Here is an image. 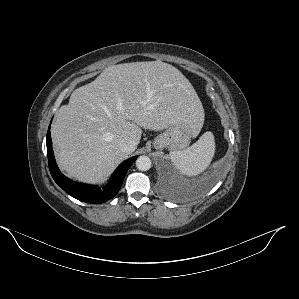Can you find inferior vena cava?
<instances>
[{
	"instance_id": "1",
	"label": "inferior vena cava",
	"mask_w": 299,
	"mask_h": 299,
	"mask_svg": "<svg viewBox=\"0 0 299 299\" xmlns=\"http://www.w3.org/2000/svg\"><path fill=\"white\" fill-rule=\"evenodd\" d=\"M120 149L125 153H131L135 151L137 142L131 138H124L120 142Z\"/></svg>"
}]
</instances>
